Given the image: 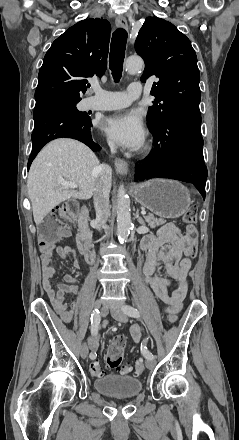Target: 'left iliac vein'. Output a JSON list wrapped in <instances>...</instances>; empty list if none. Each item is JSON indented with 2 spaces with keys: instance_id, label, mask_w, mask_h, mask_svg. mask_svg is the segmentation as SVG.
<instances>
[{
  "instance_id": "1",
  "label": "left iliac vein",
  "mask_w": 239,
  "mask_h": 440,
  "mask_svg": "<svg viewBox=\"0 0 239 440\" xmlns=\"http://www.w3.org/2000/svg\"><path fill=\"white\" fill-rule=\"evenodd\" d=\"M110 313H111L112 317L119 322L125 323L128 320L127 315L123 312L122 309L114 308L110 311ZM146 366L148 369L152 370L156 366V361L154 359H147Z\"/></svg>"
}]
</instances>
